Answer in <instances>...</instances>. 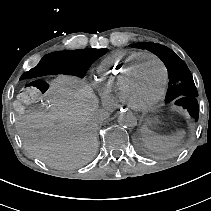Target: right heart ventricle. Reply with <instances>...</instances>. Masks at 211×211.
Instances as JSON below:
<instances>
[{
	"label": "right heart ventricle",
	"instance_id": "right-heart-ventricle-1",
	"mask_svg": "<svg viewBox=\"0 0 211 211\" xmlns=\"http://www.w3.org/2000/svg\"><path fill=\"white\" fill-rule=\"evenodd\" d=\"M146 53L135 54L132 50L115 52L95 67L93 78L107 105H116L120 101L123 82L127 74L140 62Z\"/></svg>",
	"mask_w": 211,
	"mask_h": 211
}]
</instances>
